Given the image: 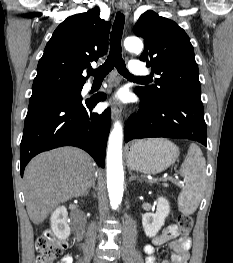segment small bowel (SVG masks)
Listing matches in <instances>:
<instances>
[{
	"label": "small bowel",
	"instance_id": "1",
	"mask_svg": "<svg viewBox=\"0 0 233 263\" xmlns=\"http://www.w3.org/2000/svg\"><path fill=\"white\" fill-rule=\"evenodd\" d=\"M169 242L171 250L170 260L158 261L156 258V246ZM191 238L184 234L176 224H170L161 235L154 237L150 244L143 247L146 254L145 263H188ZM58 263H73V257L69 254L64 255Z\"/></svg>",
	"mask_w": 233,
	"mask_h": 263
}]
</instances>
